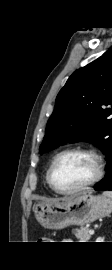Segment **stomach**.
Wrapping results in <instances>:
<instances>
[{
	"mask_svg": "<svg viewBox=\"0 0 112 270\" xmlns=\"http://www.w3.org/2000/svg\"><path fill=\"white\" fill-rule=\"evenodd\" d=\"M112 212V200L104 195H81L59 201L39 202L34 206L37 221L47 229L84 226Z\"/></svg>",
	"mask_w": 112,
	"mask_h": 270,
	"instance_id": "obj_1",
	"label": "stomach"
}]
</instances>
